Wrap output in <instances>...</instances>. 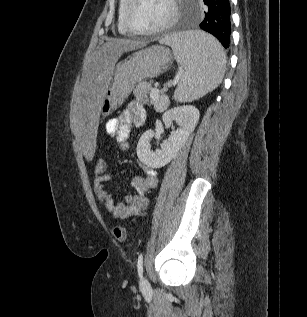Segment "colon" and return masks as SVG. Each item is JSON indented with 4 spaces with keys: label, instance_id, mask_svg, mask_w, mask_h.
<instances>
[{
    "label": "colon",
    "instance_id": "obj_1",
    "mask_svg": "<svg viewBox=\"0 0 307 317\" xmlns=\"http://www.w3.org/2000/svg\"><path fill=\"white\" fill-rule=\"evenodd\" d=\"M107 170V162L104 159H98L95 163V173L103 174ZM114 236L117 240L124 242L127 240V231L123 226H116L114 228Z\"/></svg>",
    "mask_w": 307,
    "mask_h": 317
}]
</instances>
